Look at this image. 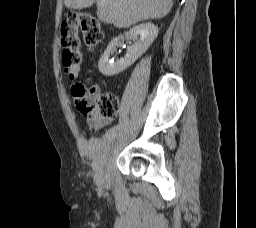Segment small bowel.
<instances>
[{
  "label": "small bowel",
  "instance_id": "small-bowel-1",
  "mask_svg": "<svg viewBox=\"0 0 256 228\" xmlns=\"http://www.w3.org/2000/svg\"><path fill=\"white\" fill-rule=\"evenodd\" d=\"M94 89L96 90V92H99L98 86H95ZM109 122H110V119L95 118V119L91 120L90 125L93 128H101L104 125L108 124Z\"/></svg>",
  "mask_w": 256,
  "mask_h": 228
}]
</instances>
